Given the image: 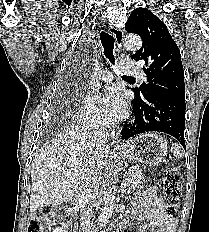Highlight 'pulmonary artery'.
Segmentation results:
<instances>
[{
	"label": "pulmonary artery",
	"instance_id": "e3ab8cb5",
	"mask_svg": "<svg viewBox=\"0 0 209 232\" xmlns=\"http://www.w3.org/2000/svg\"><path fill=\"white\" fill-rule=\"evenodd\" d=\"M118 69L123 74L136 76L142 82L146 81L145 74L142 70L135 63L129 60H121ZM100 78L102 81L110 83L113 80V75L109 71H103L100 73Z\"/></svg>",
	"mask_w": 209,
	"mask_h": 232
}]
</instances>
